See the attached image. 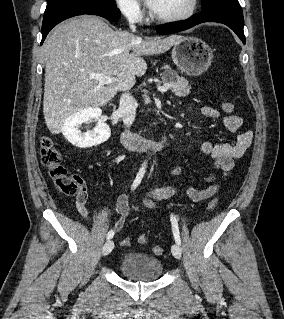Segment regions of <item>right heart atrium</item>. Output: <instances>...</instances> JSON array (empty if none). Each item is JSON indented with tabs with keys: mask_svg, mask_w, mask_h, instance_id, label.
Instances as JSON below:
<instances>
[{
	"mask_svg": "<svg viewBox=\"0 0 284 319\" xmlns=\"http://www.w3.org/2000/svg\"><path fill=\"white\" fill-rule=\"evenodd\" d=\"M122 15L129 21L138 23L144 17V10L138 0H116Z\"/></svg>",
	"mask_w": 284,
	"mask_h": 319,
	"instance_id": "right-heart-atrium-1",
	"label": "right heart atrium"
}]
</instances>
